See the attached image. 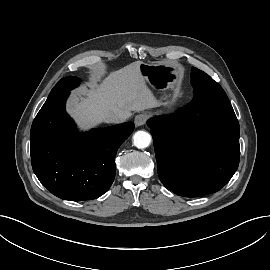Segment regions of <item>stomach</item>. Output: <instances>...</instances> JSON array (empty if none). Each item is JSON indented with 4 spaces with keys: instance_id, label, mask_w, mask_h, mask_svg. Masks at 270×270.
I'll use <instances>...</instances> for the list:
<instances>
[{
    "instance_id": "obj_1",
    "label": "stomach",
    "mask_w": 270,
    "mask_h": 270,
    "mask_svg": "<svg viewBox=\"0 0 270 270\" xmlns=\"http://www.w3.org/2000/svg\"><path fill=\"white\" fill-rule=\"evenodd\" d=\"M139 68L145 81L160 94L164 104L171 108L181 81L182 67L171 62H141Z\"/></svg>"
}]
</instances>
